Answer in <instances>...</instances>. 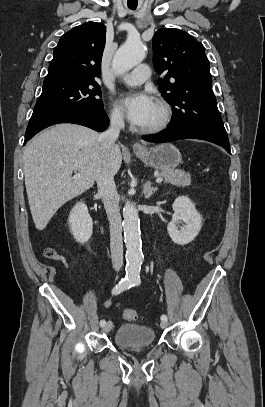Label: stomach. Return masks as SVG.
<instances>
[{"instance_id": "stomach-1", "label": "stomach", "mask_w": 265, "mask_h": 407, "mask_svg": "<svg viewBox=\"0 0 265 407\" xmlns=\"http://www.w3.org/2000/svg\"><path fill=\"white\" fill-rule=\"evenodd\" d=\"M136 156L147 166L161 171L175 169L182 160L180 151L170 143H163L142 151H135Z\"/></svg>"}]
</instances>
